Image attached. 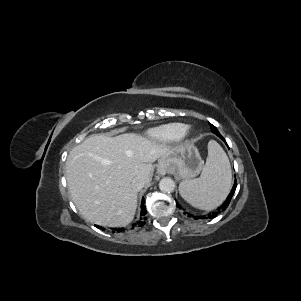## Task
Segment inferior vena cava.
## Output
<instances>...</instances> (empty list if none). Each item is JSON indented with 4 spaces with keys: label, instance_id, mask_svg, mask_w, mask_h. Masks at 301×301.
I'll use <instances>...</instances> for the list:
<instances>
[{
    "label": "inferior vena cava",
    "instance_id": "inferior-vena-cava-1",
    "mask_svg": "<svg viewBox=\"0 0 301 301\" xmlns=\"http://www.w3.org/2000/svg\"><path fill=\"white\" fill-rule=\"evenodd\" d=\"M132 185L136 190H141L143 186L145 185V180L141 176H137L133 179Z\"/></svg>",
    "mask_w": 301,
    "mask_h": 301
}]
</instances>
